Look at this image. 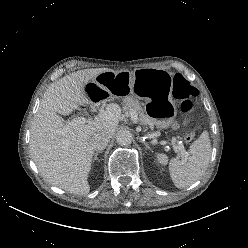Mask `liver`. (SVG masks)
Masks as SVG:
<instances>
[{
    "instance_id": "6515ba94",
    "label": "liver",
    "mask_w": 248,
    "mask_h": 248,
    "mask_svg": "<svg viewBox=\"0 0 248 248\" xmlns=\"http://www.w3.org/2000/svg\"><path fill=\"white\" fill-rule=\"evenodd\" d=\"M108 70H79L51 84L31 124L30 154L39 172L51 185L76 195L90 191L87 178L94 154L91 137L102 131L112 136L121 118V108L109 105L94 120L68 130H64L68 122L58 114L68 115L79 106H93L85 86Z\"/></svg>"
}]
</instances>
